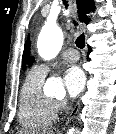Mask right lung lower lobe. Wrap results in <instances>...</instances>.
Listing matches in <instances>:
<instances>
[{"label":"right lung lower lobe","mask_w":116,"mask_h":134,"mask_svg":"<svg viewBox=\"0 0 116 134\" xmlns=\"http://www.w3.org/2000/svg\"><path fill=\"white\" fill-rule=\"evenodd\" d=\"M91 52V47H89V53Z\"/></svg>","instance_id":"98d812e1"}]
</instances>
